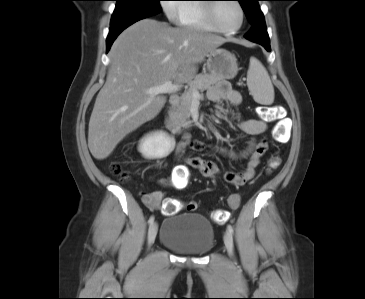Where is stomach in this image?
<instances>
[{
	"label": "stomach",
	"instance_id": "1",
	"mask_svg": "<svg viewBox=\"0 0 365 299\" xmlns=\"http://www.w3.org/2000/svg\"><path fill=\"white\" fill-rule=\"evenodd\" d=\"M207 69L220 79H232L237 75L238 64L234 54L225 49H213L207 55Z\"/></svg>",
	"mask_w": 365,
	"mask_h": 299
}]
</instances>
